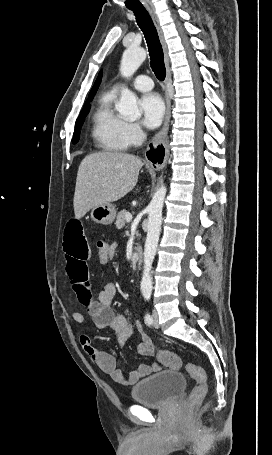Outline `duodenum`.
<instances>
[{
    "label": "duodenum",
    "instance_id": "duodenum-1",
    "mask_svg": "<svg viewBox=\"0 0 272 455\" xmlns=\"http://www.w3.org/2000/svg\"><path fill=\"white\" fill-rule=\"evenodd\" d=\"M135 259L138 266H141L143 262V250L141 247H136L135 249Z\"/></svg>",
    "mask_w": 272,
    "mask_h": 455
}]
</instances>
